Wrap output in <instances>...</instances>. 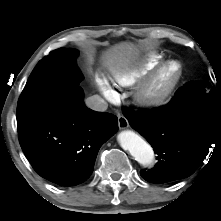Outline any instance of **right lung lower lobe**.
I'll list each match as a JSON object with an SVG mask.
<instances>
[{
	"mask_svg": "<svg viewBox=\"0 0 221 221\" xmlns=\"http://www.w3.org/2000/svg\"><path fill=\"white\" fill-rule=\"evenodd\" d=\"M80 86L38 121L18 129L22 150L35 171L61 186L86 181L100 147L117 131L118 119L88 109Z\"/></svg>",
	"mask_w": 221,
	"mask_h": 221,
	"instance_id": "98d812e1",
	"label": "right lung lower lobe"
}]
</instances>
